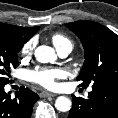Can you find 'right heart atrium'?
I'll return each mask as SVG.
<instances>
[{"mask_svg":"<svg viewBox=\"0 0 118 118\" xmlns=\"http://www.w3.org/2000/svg\"><path fill=\"white\" fill-rule=\"evenodd\" d=\"M36 43L37 41L35 38L27 40L20 49L21 56L24 58L31 56L35 49Z\"/></svg>","mask_w":118,"mask_h":118,"instance_id":"1","label":"right heart atrium"}]
</instances>
